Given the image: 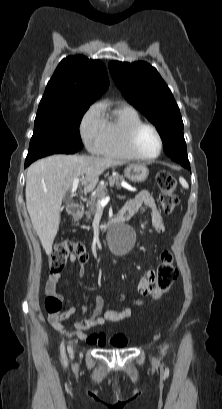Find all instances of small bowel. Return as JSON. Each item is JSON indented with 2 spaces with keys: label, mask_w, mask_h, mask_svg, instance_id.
<instances>
[{
  "label": "small bowel",
  "mask_w": 222,
  "mask_h": 409,
  "mask_svg": "<svg viewBox=\"0 0 222 409\" xmlns=\"http://www.w3.org/2000/svg\"><path fill=\"white\" fill-rule=\"evenodd\" d=\"M148 209L151 213V224L153 229L158 233L165 232V226L162 222L160 213L157 210L154 198L147 191H142L138 193L132 200L127 202V204L122 208L123 211L131 213V216L136 212L144 211ZM130 216V217H131ZM71 262L76 261L75 256H71ZM86 273L84 265L80 264L78 276L82 278ZM158 277L157 271L155 269H148L147 275L145 274L138 283V293L140 297H147L153 292L150 290L152 285L156 283V278ZM62 275L60 273H55L49 275L45 283V292L49 296L57 297L60 300H64V295L58 291V286L60 284ZM68 304H72V301L67 299ZM104 300L100 295L95 297V303L92 307L90 313L86 316H81L72 322L75 330L70 333L77 337L78 339L85 340L88 344L97 346L100 348L110 347V348H123L126 346V339L124 336L118 335L111 339H108L105 334L94 332L88 334L87 331L103 326L107 322H120L124 319L130 318L132 316L131 310L129 308H123L121 310H108L103 313ZM74 310V307H72ZM67 317V314L62 315H52L48 316L50 324L58 331L65 333L67 332L63 320Z\"/></svg>",
  "instance_id": "c3829d8e"
}]
</instances>
